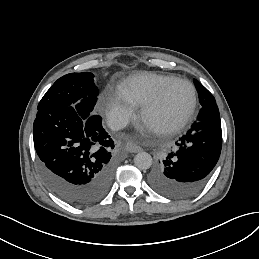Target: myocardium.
<instances>
[{
  "label": "myocardium",
  "mask_w": 259,
  "mask_h": 259,
  "mask_svg": "<svg viewBox=\"0 0 259 259\" xmlns=\"http://www.w3.org/2000/svg\"><path fill=\"white\" fill-rule=\"evenodd\" d=\"M182 81L186 83L191 90V100L188 106L177 116H175L171 122L162 130L156 131L159 135H170L179 131L183 125L193 114L197 105V91L195 85L184 77L174 76L165 81L157 90L156 94L150 98L144 105L141 111L140 119H144L147 115L155 110L163 101L164 96L168 88L175 82Z\"/></svg>",
  "instance_id": "f54148a6"
}]
</instances>
